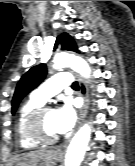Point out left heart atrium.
<instances>
[{"instance_id": "obj_1", "label": "left heart atrium", "mask_w": 135, "mask_h": 166, "mask_svg": "<svg viewBox=\"0 0 135 166\" xmlns=\"http://www.w3.org/2000/svg\"><path fill=\"white\" fill-rule=\"evenodd\" d=\"M76 111L71 103L66 102L54 111V128L57 134L68 133L75 125Z\"/></svg>"}]
</instances>
